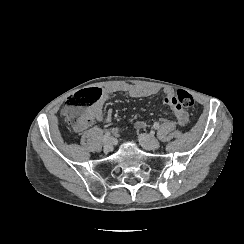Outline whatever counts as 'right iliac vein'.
Returning <instances> with one entry per match:
<instances>
[{
  "label": "right iliac vein",
  "instance_id": "right-iliac-vein-1",
  "mask_svg": "<svg viewBox=\"0 0 244 244\" xmlns=\"http://www.w3.org/2000/svg\"><path fill=\"white\" fill-rule=\"evenodd\" d=\"M114 146V139L109 138L106 142H104V150L109 152L113 149Z\"/></svg>",
  "mask_w": 244,
  "mask_h": 244
}]
</instances>
